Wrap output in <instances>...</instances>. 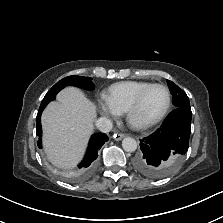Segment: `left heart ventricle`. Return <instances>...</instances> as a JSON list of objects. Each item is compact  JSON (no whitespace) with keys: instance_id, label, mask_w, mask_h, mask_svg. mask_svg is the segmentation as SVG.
Wrapping results in <instances>:
<instances>
[{"instance_id":"left-heart-ventricle-1","label":"left heart ventricle","mask_w":223,"mask_h":223,"mask_svg":"<svg viewBox=\"0 0 223 223\" xmlns=\"http://www.w3.org/2000/svg\"><path fill=\"white\" fill-rule=\"evenodd\" d=\"M167 94L164 89L156 87L151 89L143 98L140 106L133 115L136 122H147L156 118L164 109Z\"/></svg>"}]
</instances>
